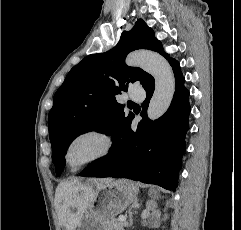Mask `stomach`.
<instances>
[{
	"label": "stomach",
	"instance_id": "obj_1",
	"mask_svg": "<svg viewBox=\"0 0 241 230\" xmlns=\"http://www.w3.org/2000/svg\"><path fill=\"white\" fill-rule=\"evenodd\" d=\"M138 194L128 180L103 182L90 207L84 212L77 230H108V222L122 213Z\"/></svg>",
	"mask_w": 241,
	"mask_h": 230
}]
</instances>
